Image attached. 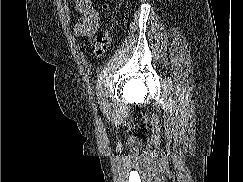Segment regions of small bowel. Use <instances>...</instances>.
<instances>
[{
	"instance_id": "small-bowel-1",
	"label": "small bowel",
	"mask_w": 243,
	"mask_h": 182,
	"mask_svg": "<svg viewBox=\"0 0 243 182\" xmlns=\"http://www.w3.org/2000/svg\"><path fill=\"white\" fill-rule=\"evenodd\" d=\"M74 5L79 14L73 30L74 35L91 39L100 26L99 13L94 7L93 0H74Z\"/></svg>"
}]
</instances>
